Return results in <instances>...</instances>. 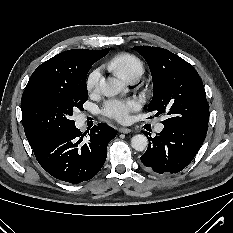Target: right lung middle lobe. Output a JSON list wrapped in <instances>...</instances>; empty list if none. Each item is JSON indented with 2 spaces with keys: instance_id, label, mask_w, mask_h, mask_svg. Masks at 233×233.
Listing matches in <instances>:
<instances>
[{
  "instance_id": "right-lung-middle-lobe-1",
  "label": "right lung middle lobe",
  "mask_w": 233,
  "mask_h": 233,
  "mask_svg": "<svg viewBox=\"0 0 233 233\" xmlns=\"http://www.w3.org/2000/svg\"><path fill=\"white\" fill-rule=\"evenodd\" d=\"M90 67L72 85L38 84L24 91L21 99L26 137L33 146L39 139L75 125L73 112L83 110L88 99L86 78Z\"/></svg>"
}]
</instances>
